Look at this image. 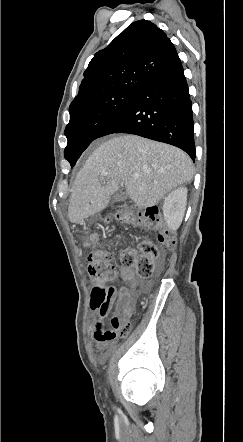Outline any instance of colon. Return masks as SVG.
<instances>
[{"mask_svg":"<svg viewBox=\"0 0 243 442\" xmlns=\"http://www.w3.org/2000/svg\"><path fill=\"white\" fill-rule=\"evenodd\" d=\"M115 218L121 223L136 227L146 226L162 229L156 205L136 208L133 211L124 208L116 212ZM158 241L170 248L175 245L174 237L167 230H162L159 233ZM81 242L89 251L88 275L92 290L91 306L101 308L104 305H110L115 292L109 283L114 276V269L109 263V254L101 247L99 238L95 234H85L81 238ZM158 256V246L153 241L144 239L139 243L137 251L123 250L121 261L126 266H134L141 277L148 278L153 274L154 261ZM132 316L133 311L117 313L111 320V330H107L101 339L112 341L117 337L127 335L131 330Z\"/></svg>","mask_w":243,"mask_h":442,"instance_id":"5ec220e1","label":"colon"}]
</instances>
